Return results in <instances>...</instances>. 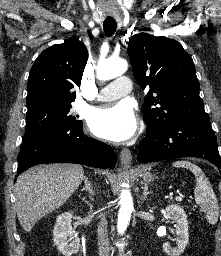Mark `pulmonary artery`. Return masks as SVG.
<instances>
[{"label":"pulmonary artery","instance_id":"obj_1","mask_svg":"<svg viewBox=\"0 0 221 256\" xmlns=\"http://www.w3.org/2000/svg\"><path fill=\"white\" fill-rule=\"evenodd\" d=\"M131 91V81L128 77L121 76L104 86L98 96V101H111L128 95Z\"/></svg>","mask_w":221,"mask_h":256}]
</instances>
